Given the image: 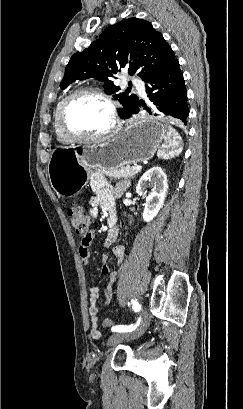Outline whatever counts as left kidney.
I'll return each instance as SVG.
<instances>
[{"mask_svg": "<svg viewBox=\"0 0 243 409\" xmlns=\"http://www.w3.org/2000/svg\"><path fill=\"white\" fill-rule=\"evenodd\" d=\"M167 187V176L158 166L146 171L139 179L136 186V193L140 196H144L146 200L142 215L145 222L152 221L162 208ZM147 188H150L151 191L148 192Z\"/></svg>", "mask_w": 243, "mask_h": 409, "instance_id": "1", "label": "left kidney"}]
</instances>
